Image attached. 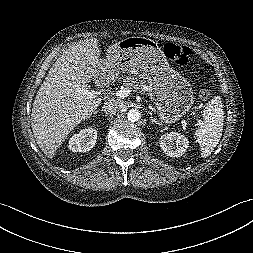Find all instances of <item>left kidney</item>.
<instances>
[{
  "label": "left kidney",
  "mask_w": 253,
  "mask_h": 253,
  "mask_svg": "<svg viewBox=\"0 0 253 253\" xmlns=\"http://www.w3.org/2000/svg\"><path fill=\"white\" fill-rule=\"evenodd\" d=\"M159 144L163 152L170 157L182 156L189 146L188 139L177 132L163 134L159 139Z\"/></svg>",
  "instance_id": "1"
}]
</instances>
